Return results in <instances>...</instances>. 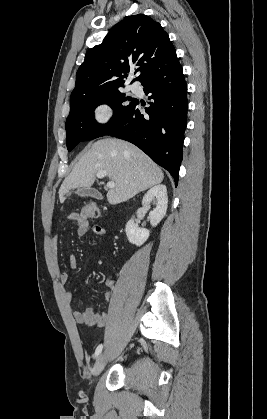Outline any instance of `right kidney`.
<instances>
[{"mask_svg":"<svg viewBox=\"0 0 267 419\" xmlns=\"http://www.w3.org/2000/svg\"><path fill=\"white\" fill-rule=\"evenodd\" d=\"M155 200L156 207L149 213L150 223L153 227L163 219L167 211L168 197L165 185L159 184L152 187L144 195L142 206L149 208L150 203ZM125 232L130 243L141 246L150 235V230L139 228L134 222V216L127 222Z\"/></svg>","mask_w":267,"mask_h":419,"instance_id":"obj_1","label":"right kidney"}]
</instances>
